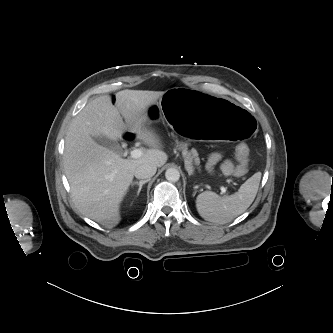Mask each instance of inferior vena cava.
I'll return each mask as SVG.
<instances>
[{"label":"inferior vena cava","mask_w":333,"mask_h":333,"mask_svg":"<svg viewBox=\"0 0 333 333\" xmlns=\"http://www.w3.org/2000/svg\"><path fill=\"white\" fill-rule=\"evenodd\" d=\"M157 167L152 164H141L134 172L138 179H150L156 173Z\"/></svg>","instance_id":"inferior-vena-cava-1"}]
</instances>
